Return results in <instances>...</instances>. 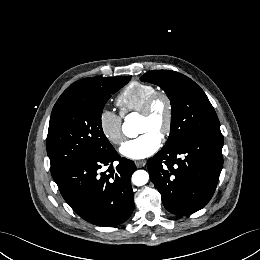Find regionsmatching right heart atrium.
I'll return each mask as SVG.
<instances>
[{"label":"right heart atrium","instance_id":"obj_1","mask_svg":"<svg viewBox=\"0 0 260 260\" xmlns=\"http://www.w3.org/2000/svg\"><path fill=\"white\" fill-rule=\"evenodd\" d=\"M122 118L121 114H117L108 108H102L99 112L98 124L100 131L113 145H120L124 140Z\"/></svg>","mask_w":260,"mask_h":260}]
</instances>
